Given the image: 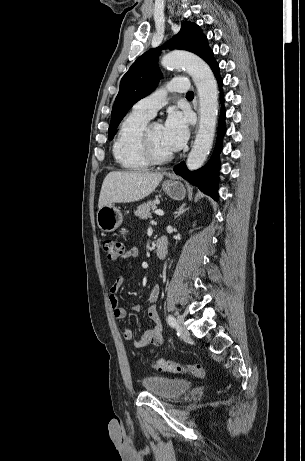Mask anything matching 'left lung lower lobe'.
I'll list each match as a JSON object with an SVG mask.
<instances>
[{"label": "left lung lower lobe", "instance_id": "0a47b994", "mask_svg": "<svg viewBox=\"0 0 305 461\" xmlns=\"http://www.w3.org/2000/svg\"><path fill=\"white\" fill-rule=\"evenodd\" d=\"M208 64L214 72L221 89L222 80L219 75L218 63L215 59H212ZM222 97L223 95L221 94V98ZM224 119L225 113L222 108L215 150L211 159L203 168L190 172L184 162H181L174 168V172L176 174L180 175L191 184L197 186L201 191L208 194L215 200H218V175L220 169L219 153L222 149V137L225 133Z\"/></svg>", "mask_w": 305, "mask_h": 461}]
</instances>
